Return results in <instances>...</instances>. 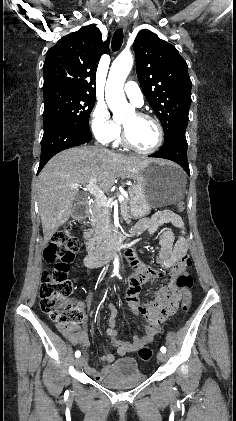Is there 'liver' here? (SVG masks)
Here are the masks:
<instances>
[{
	"mask_svg": "<svg viewBox=\"0 0 236 421\" xmlns=\"http://www.w3.org/2000/svg\"><path fill=\"white\" fill-rule=\"evenodd\" d=\"M155 158L123 156L107 148L80 146L66 148L55 154L45 164L38 176V204L41 217L44 245L61 225L67 223L78 188L68 184H87L91 178L105 192L110 190L118 176L137 178L138 170Z\"/></svg>",
	"mask_w": 236,
	"mask_h": 421,
	"instance_id": "liver-1",
	"label": "liver"
}]
</instances>
